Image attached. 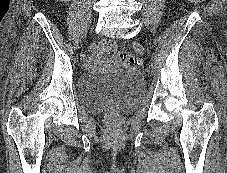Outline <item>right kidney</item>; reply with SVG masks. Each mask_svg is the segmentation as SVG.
<instances>
[{
  "instance_id": "1",
  "label": "right kidney",
  "mask_w": 227,
  "mask_h": 173,
  "mask_svg": "<svg viewBox=\"0 0 227 173\" xmlns=\"http://www.w3.org/2000/svg\"><path fill=\"white\" fill-rule=\"evenodd\" d=\"M60 1H64V2H67V1H70V0H60Z\"/></svg>"
}]
</instances>
